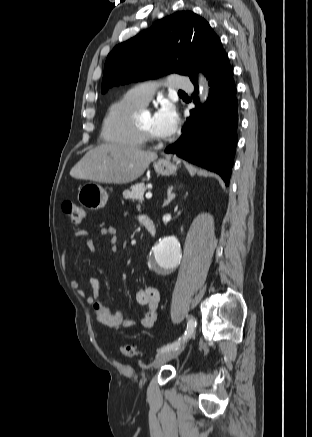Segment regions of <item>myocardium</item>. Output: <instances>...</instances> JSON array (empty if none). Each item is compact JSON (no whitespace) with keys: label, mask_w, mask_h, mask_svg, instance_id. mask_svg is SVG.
Returning a JSON list of instances; mask_svg holds the SVG:
<instances>
[{"label":"myocardium","mask_w":312,"mask_h":437,"mask_svg":"<svg viewBox=\"0 0 312 437\" xmlns=\"http://www.w3.org/2000/svg\"><path fill=\"white\" fill-rule=\"evenodd\" d=\"M142 109H140L137 113L141 112ZM137 113L134 116V125H135V128H136L137 132L139 133L143 143L144 144H151V145H160V144L166 143V140H161V139L155 138L149 131H147L145 128H143L139 124Z\"/></svg>","instance_id":"1"}]
</instances>
